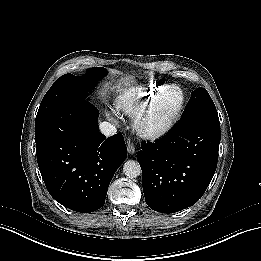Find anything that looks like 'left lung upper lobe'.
Listing matches in <instances>:
<instances>
[{
	"label": "left lung upper lobe",
	"instance_id": "obj_1",
	"mask_svg": "<svg viewBox=\"0 0 261 261\" xmlns=\"http://www.w3.org/2000/svg\"><path fill=\"white\" fill-rule=\"evenodd\" d=\"M197 116L218 118L216 107L210 95L206 89L202 87H199L192 92V96L185 108L181 121Z\"/></svg>",
	"mask_w": 261,
	"mask_h": 261
}]
</instances>
